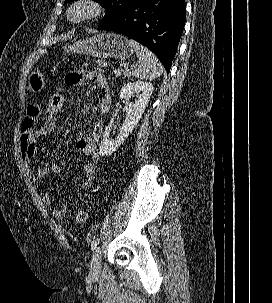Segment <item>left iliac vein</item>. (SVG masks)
<instances>
[{
    "label": "left iliac vein",
    "mask_w": 272,
    "mask_h": 303,
    "mask_svg": "<svg viewBox=\"0 0 272 303\" xmlns=\"http://www.w3.org/2000/svg\"><path fill=\"white\" fill-rule=\"evenodd\" d=\"M101 270V249L96 247L90 262V275L97 276Z\"/></svg>",
    "instance_id": "obj_1"
}]
</instances>
